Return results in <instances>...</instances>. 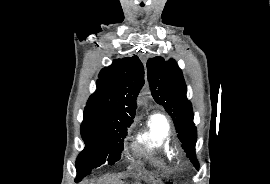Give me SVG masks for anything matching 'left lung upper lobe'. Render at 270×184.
<instances>
[{
    "instance_id": "5c2ea615",
    "label": "left lung upper lobe",
    "mask_w": 270,
    "mask_h": 184,
    "mask_svg": "<svg viewBox=\"0 0 270 184\" xmlns=\"http://www.w3.org/2000/svg\"><path fill=\"white\" fill-rule=\"evenodd\" d=\"M147 69L154 100L171 116L187 157L198 169L195 157L197 132L193 123L192 105L186 97L187 89L181 69L175 60L165 61L160 56L150 58L147 61Z\"/></svg>"
}]
</instances>
